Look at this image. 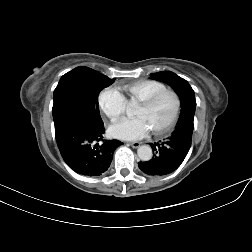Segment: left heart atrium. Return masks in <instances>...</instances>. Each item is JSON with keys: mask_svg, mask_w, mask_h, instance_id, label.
<instances>
[{"mask_svg": "<svg viewBox=\"0 0 252 252\" xmlns=\"http://www.w3.org/2000/svg\"><path fill=\"white\" fill-rule=\"evenodd\" d=\"M149 127L141 117L124 118L110 127L112 136L124 140H136L144 137Z\"/></svg>", "mask_w": 252, "mask_h": 252, "instance_id": "left-heart-atrium-1", "label": "left heart atrium"}]
</instances>
